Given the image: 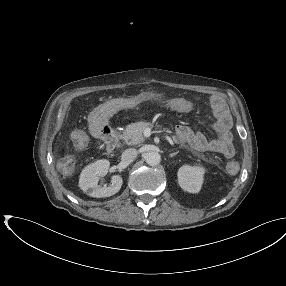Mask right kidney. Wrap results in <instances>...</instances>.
I'll return each instance as SVG.
<instances>
[{
	"label": "right kidney",
	"mask_w": 286,
	"mask_h": 286,
	"mask_svg": "<svg viewBox=\"0 0 286 286\" xmlns=\"http://www.w3.org/2000/svg\"><path fill=\"white\" fill-rule=\"evenodd\" d=\"M109 167L110 163L105 159L98 160L86 166L80 174L79 187L87 195L96 198L110 197L116 194L123 184L121 176H112L109 186L100 187L98 185L100 177H104L108 173Z\"/></svg>",
	"instance_id": "ca27d5eb"
}]
</instances>
